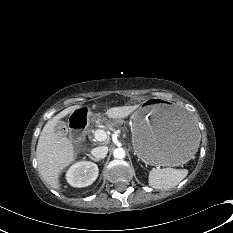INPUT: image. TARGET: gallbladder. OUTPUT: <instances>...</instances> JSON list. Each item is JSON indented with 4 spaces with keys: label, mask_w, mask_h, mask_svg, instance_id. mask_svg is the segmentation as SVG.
<instances>
[{
    "label": "gallbladder",
    "mask_w": 233,
    "mask_h": 233,
    "mask_svg": "<svg viewBox=\"0 0 233 233\" xmlns=\"http://www.w3.org/2000/svg\"><path fill=\"white\" fill-rule=\"evenodd\" d=\"M64 128H65L64 122L59 121L58 124H57L56 130H57V131H61V130L64 129Z\"/></svg>",
    "instance_id": "bac80fb5"
}]
</instances>
